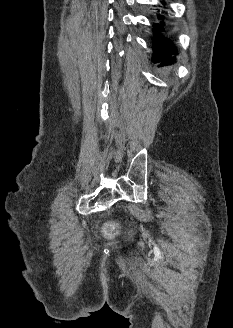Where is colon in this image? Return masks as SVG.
<instances>
[{"instance_id": "5ec220e1", "label": "colon", "mask_w": 233, "mask_h": 328, "mask_svg": "<svg viewBox=\"0 0 233 328\" xmlns=\"http://www.w3.org/2000/svg\"><path fill=\"white\" fill-rule=\"evenodd\" d=\"M118 231V226L115 223H109L106 225V233L108 235H114Z\"/></svg>"}]
</instances>
